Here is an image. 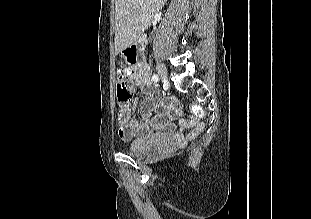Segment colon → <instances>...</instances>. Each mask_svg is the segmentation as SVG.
Listing matches in <instances>:
<instances>
[{
  "mask_svg": "<svg viewBox=\"0 0 311 219\" xmlns=\"http://www.w3.org/2000/svg\"><path fill=\"white\" fill-rule=\"evenodd\" d=\"M129 49V48H128ZM127 49L126 55L129 58L130 63H135V59L130 55L129 50ZM132 85L129 80V74L127 69H121L118 71L117 78V100L121 107H126L132 97ZM195 112L198 115H201V110L198 107L194 108Z\"/></svg>",
  "mask_w": 311,
  "mask_h": 219,
  "instance_id": "5ec220e1",
  "label": "colon"
}]
</instances>
